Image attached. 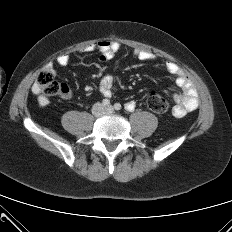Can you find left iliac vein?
Returning a JSON list of instances; mask_svg holds the SVG:
<instances>
[{"label": "left iliac vein", "mask_w": 232, "mask_h": 232, "mask_svg": "<svg viewBox=\"0 0 232 232\" xmlns=\"http://www.w3.org/2000/svg\"><path fill=\"white\" fill-rule=\"evenodd\" d=\"M114 111V108L112 106H108L104 109V112L106 113H112Z\"/></svg>", "instance_id": "4c4485c4"}]
</instances>
